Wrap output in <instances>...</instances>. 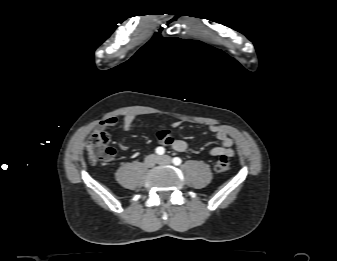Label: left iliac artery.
Here are the masks:
<instances>
[{"instance_id": "left-iliac-artery-1", "label": "left iliac artery", "mask_w": 337, "mask_h": 261, "mask_svg": "<svg viewBox=\"0 0 337 261\" xmlns=\"http://www.w3.org/2000/svg\"><path fill=\"white\" fill-rule=\"evenodd\" d=\"M174 165H180L182 163V160L179 157H174L172 160Z\"/></svg>"}]
</instances>
